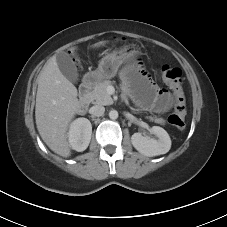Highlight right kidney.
I'll return each instance as SVG.
<instances>
[{
	"mask_svg": "<svg viewBox=\"0 0 227 227\" xmlns=\"http://www.w3.org/2000/svg\"><path fill=\"white\" fill-rule=\"evenodd\" d=\"M92 125L86 118H78L74 120L68 132V140L72 149L82 152L91 140Z\"/></svg>",
	"mask_w": 227,
	"mask_h": 227,
	"instance_id": "1",
	"label": "right kidney"
}]
</instances>
